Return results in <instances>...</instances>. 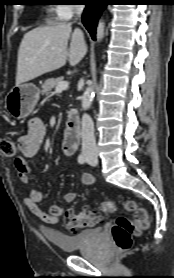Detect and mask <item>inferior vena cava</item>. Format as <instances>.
I'll return each mask as SVG.
<instances>
[{
  "label": "inferior vena cava",
  "instance_id": "602c4592",
  "mask_svg": "<svg viewBox=\"0 0 174 278\" xmlns=\"http://www.w3.org/2000/svg\"><path fill=\"white\" fill-rule=\"evenodd\" d=\"M75 11L78 16L83 11V5H76ZM82 152L84 154H97L96 140L94 136V124L91 117L84 114L82 117Z\"/></svg>",
  "mask_w": 174,
  "mask_h": 278
}]
</instances>
